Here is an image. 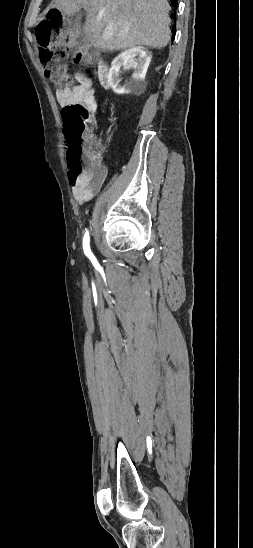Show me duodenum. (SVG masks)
Segmentation results:
<instances>
[{
    "label": "duodenum",
    "mask_w": 253,
    "mask_h": 548,
    "mask_svg": "<svg viewBox=\"0 0 253 548\" xmlns=\"http://www.w3.org/2000/svg\"><path fill=\"white\" fill-rule=\"evenodd\" d=\"M98 78L100 83L108 87L109 86V70L106 64L100 63L98 66Z\"/></svg>",
    "instance_id": "1"
}]
</instances>
